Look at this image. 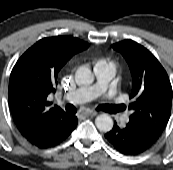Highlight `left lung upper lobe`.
<instances>
[{"label": "left lung upper lobe", "instance_id": "1", "mask_svg": "<svg viewBox=\"0 0 173 170\" xmlns=\"http://www.w3.org/2000/svg\"><path fill=\"white\" fill-rule=\"evenodd\" d=\"M113 48L124 56L132 75L129 123L158 139L171 114L172 87L168 75L149 50L132 40L118 42Z\"/></svg>", "mask_w": 173, "mask_h": 170}]
</instances>
